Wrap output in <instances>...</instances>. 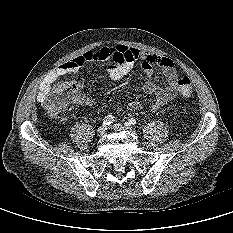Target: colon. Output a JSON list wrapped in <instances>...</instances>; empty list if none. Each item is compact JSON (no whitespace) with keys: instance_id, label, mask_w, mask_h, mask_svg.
I'll use <instances>...</instances> for the list:
<instances>
[{"instance_id":"obj_1","label":"colon","mask_w":233,"mask_h":233,"mask_svg":"<svg viewBox=\"0 0 233 233\" xmlns=\"http://www.w3.org/2000/svg\"><path fill=\"white\" fill-rule=\"evenodd\" d=\"M178 89L183 96H190L193 92L191 80L187 76L179 79ZM79 94L80 86L75 80L59 83L54 87L48 99L47 107L52 114H60L69 103L75 101Z\"/></svg>"}]
</instances>
